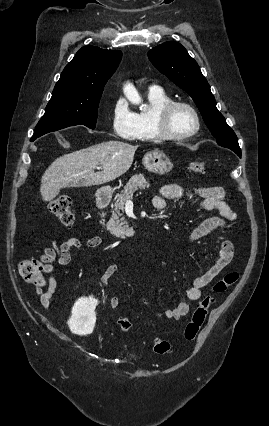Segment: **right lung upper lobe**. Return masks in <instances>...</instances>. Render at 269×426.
Returning a JSON list of instances; mask_svg holds the SVG:
<instances>
[{
  "label": "right lung upper lobe",
  "instance_id": "1",
  "mask_svg": "<svg viewBox=\"0 0 269 426\" xmlns=\"http://www.w3.org/2000/svg\"><path fill=\"white\" fill-rule=\"evenodd\" d=\"M121 57L119 50H105L95 46L81 48L64 68L52 94L62 93L71 98L102 95Z\"/></svg>",
  "mask_w": 269,
  "mask_h": 426
}]
</instances>
